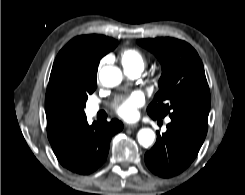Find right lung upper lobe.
Here are the masks:
<instances>
[{
	"label": "right lung upper lobe",
	"instance_id": "right-lung-upper-lobe-1",
	"mask_svg": "<svg viewBox=\"0 0 245 195\" xmlns=\"http://www.w3.org/2000/svg\"><path fill=\"white\" fill-rule=\"evenodd\" d=\"M103 35L73 38L57 55L45 97L47 136L52 148L65 142L86 120L79 91L85 74H97L100 59L117 46Z\"/></svg>",
	"mask_w": 245,
	"mask_h": 195
}]
</instances>
